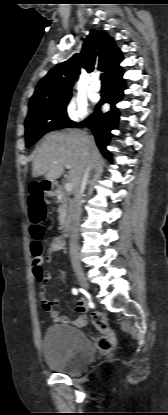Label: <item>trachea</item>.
I'll return each mask as SVG.
<instances>
[{"label": "trachea", "mask_w": 168, "mask_h": 415, "mask_svg": "<svg viewBox=\"0 0 168 415\" xmlns=\"http://www.w3.org/2000/svg\"><path fill=\"white\" fill-rule=\"evenodd\" d=\"M100 78H101V81L103 83H106L107 82L106 76L104 74H101V77Z\"/></svg>", "instance_id": "1"}]
</instances>
